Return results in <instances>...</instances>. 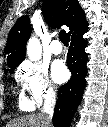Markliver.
Instances as JSON below:
<instances>
[{"label":"liver","mask_w":108,"mask_h":127,"mask_svg":"<svg viewBox=\"0 0 108 127\" xmlns=\"http://www.w3.org/2000/svg\"><path fill=\"white\" fill-rule=\"evenodd\" d=\"M6 127H46L42 114H32L10 120Z\"/></svg>","instance_id":"liver-1"}]
</instances>
